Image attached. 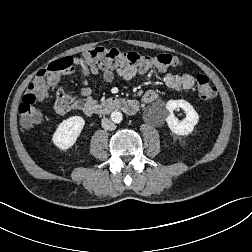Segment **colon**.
<instances>
[{
  "label": "colon",
  "instance_id": "5ec220e1",
  "mask_svg": "<svg viewBox=\"0 0 252 252\" xmlns=\"http://www.w3.org/2000/svg\"><path fill=\"white\" fill-rule=\"evenodd\" d=\"M85 58L87 62L100 69L168 70L179 68L182 65L179 58L169 54L147 57L135 52H124L116 47L92 48L85 53ZM71 66L72 58L65 57L50 63L45 69L37 73L18 107L23 126L31 127L42 120V111L37 106L38 101L45 97L48 88L54 85L59 80L60 75ZM195 80L199 97L207 102L212 101L217 92L210 80L203 74H197Z\"/></svg>",
  "mask_w": 252,
  "mask_h": 252
}]
</instances>
